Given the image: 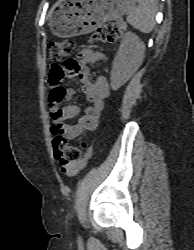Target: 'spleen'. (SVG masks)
I'll use <instances>...</instances> for the list:
<instances>
[{
  "label": "spleen",
  "mask_w": 194,
  "mask_h": 250,
  "mask_svg": "<svg viewBox=\"0 0 194 250\" xmlns=\"http://www.w3.org/2000/svg\"><path fill=\"white\" fill-rule=\"evenodd\" d=\"M139 2L130 15L127 22L143 33H150L154 27V17L157 9L156 0H137Z\"/></svg>",
  "instance_id": "obj_1"
}]
</instances>
